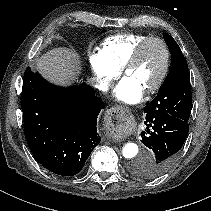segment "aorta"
<instances>
[{
	"instance_id": "obj_1",
	"label": "aorta",
	"mask_w": 211,
	"mask_h": 211,
	"mask_svg": "<svg viewBox=\"0 0 211 211\" xmlns=\"http://www.w3.org/2000/svg\"><path fill=\"white\" fill-rule=\"evenodd\" d=\"M139 148L135 143H127L122 149V154L127 159H133L137 156Z\"/></svg>"
}]
</instances>
